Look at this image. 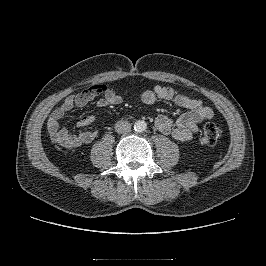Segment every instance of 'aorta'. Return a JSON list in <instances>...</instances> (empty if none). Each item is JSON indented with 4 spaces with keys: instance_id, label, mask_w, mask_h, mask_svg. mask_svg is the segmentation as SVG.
<instances>
[{
    "instance_id": "aorta-1",
    "label": "aorta",
    "mask_w": 266,
    "mask_h": 266,
    "mask_svg": "<svg viewBox=\"0 0 266 266\" xmlns=\"http://www.w3.org/2000/svg\"><path fill=\"white\" fill-rule=\"evenodd\" d=\"M147 129V123L143 120H138L134 123V130L136 132H144Z\"/></svg>"
}]
</instances>
